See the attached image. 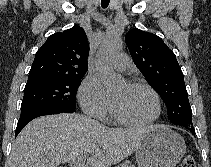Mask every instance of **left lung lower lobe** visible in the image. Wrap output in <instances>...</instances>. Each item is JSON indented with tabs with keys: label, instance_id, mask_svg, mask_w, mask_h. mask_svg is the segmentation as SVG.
Here are the masks:
<instances>
[{
	"label": "left lung lower lobe",
	"instance_id": "1",
	"mask_svg": "<svg viewBox=\"0 0 211 167\" xmlns=\"http://www.w3.org/2000/svg\"><path fill=\"white\" fill-rule=\"evenodd\" d=\"M183 127L187 128L195 136V131L193 129V126H183Z\"/></svg>",
	"mask_w": 211,
	"mask_h": 167
}]
</instances>
